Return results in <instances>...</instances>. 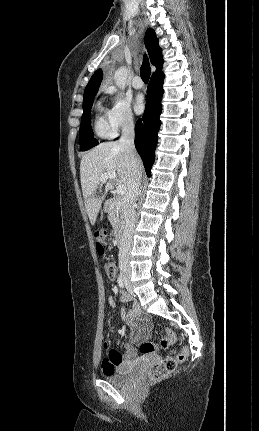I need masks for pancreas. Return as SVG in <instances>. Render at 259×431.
<instances>
[{
    "mask_svg": "<svg viewBox=\"0 0 259 431\" xmlns=\"http://www.w3.org/2000/svg\"><path fill=\"white\" fill-rule=\"evenodd\" d=\"M108 219L113 226L115 234H118L123 224V206L119 200H114L108 208Z\"/></svg>",
    "mask_w": 259,
    "mask_h": 431,
    "instance_id": "cf45deb5",
    "label": "pancreas"
}]
</instances>
